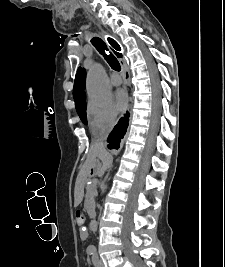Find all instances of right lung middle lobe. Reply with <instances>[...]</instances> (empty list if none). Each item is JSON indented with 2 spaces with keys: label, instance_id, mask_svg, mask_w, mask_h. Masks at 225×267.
<instances>
[{
  "label": "right lung middle lobe",
  "instance_id": "dd1d6c3e",
  "mask_svg": "<svg viewBox=\"0 0 225 267\" xmlns=\"http://www.w3.org/2000/svg\"><path fill=\"white\" fill-rule=\"evenodd\" d=\"M77 109V112H78V115L80 117V119L82 120V122L84 124H87V117H86V102L83 101L81 103V105L79 107L76 108Z\"/></svg>",
  "mask_w": 225,
  "mask_h": 267
}]
</instances>
